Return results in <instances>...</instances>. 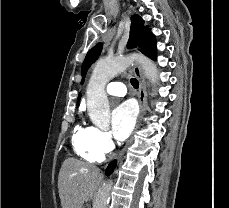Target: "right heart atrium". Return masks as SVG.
<instances>
[{"label": "right heart atrium", "instance_id": "obj_1", "mask_svg": "<svg viewBox=\"0 0 229 208\" xmlns=\"http://www.w3.org/2000/svg\"><path fill=\"white\" fill-rule=\"evenodd\" d=\"M92 144L101 154H107L114 148V142L109 132L94 128Z\"/></svg>", "mask_w": 229, "mask_h": 208}]
</instances>
